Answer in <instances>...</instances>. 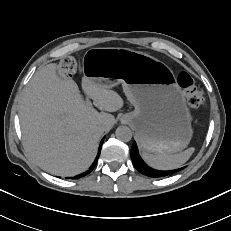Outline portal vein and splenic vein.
<instances>
[{
  "label": "portal vein and splenic vein",
  "instance_id": "18ae733b",
  "mask_svg": "<svg viewBox=\"0 0 231 231\" xmlns=\"http://www.w3.org/2000/svg\"><path fill=\"white\" fill-rule=\"evenodd\" d=\"M86 104L88 105V106H92V102L87 98L86 99Z\"/></svg>",
  "mask_w": 231,
  "mask_h": 231
}]
</instances>
